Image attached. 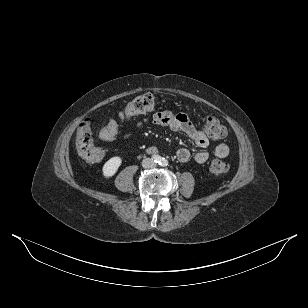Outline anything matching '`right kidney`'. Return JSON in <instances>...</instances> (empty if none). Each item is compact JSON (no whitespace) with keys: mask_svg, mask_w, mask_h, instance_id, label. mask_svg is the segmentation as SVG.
I'll list each match as a JSON object with an SVG mask.
<instances>
[{"mask_svg":"<svg viewBox=\"0 0 308 308\" xmlns=\"http://www.w3.org/2000/svg\"><path fill=\"white\" fill-rule=\"evenodd\" d=\"M122 163V159L118 156L110 158L103 166L102 172L105 178L112 177Z\"/></svg>","mask_w":308,"mask_h":308,"instance_id":"ca27d5eb","label":"right kidney"}]
</instances>
